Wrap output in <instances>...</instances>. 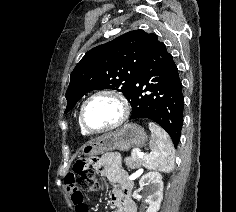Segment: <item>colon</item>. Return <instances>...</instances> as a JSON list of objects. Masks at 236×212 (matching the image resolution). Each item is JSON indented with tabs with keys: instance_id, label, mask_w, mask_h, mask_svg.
I'll return each mask as SVG.
<instances>
[{
	"instance_id": "1",
	"label": "colon",
	"mask_w": 236,
	"mask_h": 212,
	"mask_svg": "<svg viewBox=\"0 0 236 212\" xmlns=\"http://www.w3.org/2000/svg\"><path fill=\"white\" fill-rule=\"evenodd\" d=\"M75 170L79 175L77 183L81 190L87 192H97L99 190V182L93 164L90 160L77 162L75 165Z\"/></svg>"
}]
</instances>
